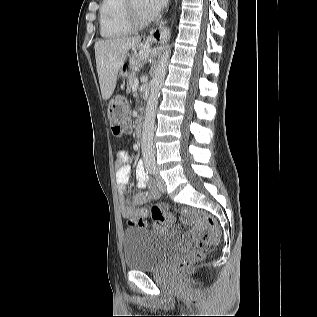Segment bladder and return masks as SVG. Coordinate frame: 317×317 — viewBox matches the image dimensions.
<instances>
[{"mask_svg":"<svg viewBox=\"0 0 317 317\" xmlns=\"http://www.w3.org/2000/svg\"><path fill=\"white\" fill-rule=\"evenodd\" d=\"M123 251L125 267L133 271L162 268L176 254L174 240L141 228L124 232Z\"/></svg>","mask_w":317,"mask_h":317,"instance_id":"obj_1","label":"bladder"}]
</instances>
